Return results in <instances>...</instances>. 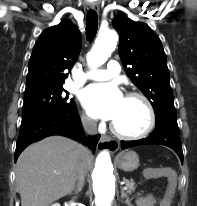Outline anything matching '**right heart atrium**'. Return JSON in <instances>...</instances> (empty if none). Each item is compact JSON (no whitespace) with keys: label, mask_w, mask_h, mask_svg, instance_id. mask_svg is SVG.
I'll list each match as a JSON object with an SVG mask.
<instances>
[{"label":"right heart atrium","mask_w":197,"mask_h":206,"mask_svg":"<svg viewBox=\"0 0 197 206\" xmlns=\"http://www.w3.org/2000/svg\"><path fill=\"white\" fill-rule=\"evenodd\" d=\"M81 121L82 124L86 127V128H92L94 126V121L93 119L88 116L87 114L83 113L81 115Z\"/></svg>","instance_id":"obj_1"}]
</instances>
